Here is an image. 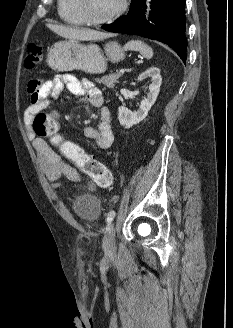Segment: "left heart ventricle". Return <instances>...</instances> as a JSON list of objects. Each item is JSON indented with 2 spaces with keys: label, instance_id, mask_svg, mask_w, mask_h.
<instances>
[{
  "label": "left heart ventricle",
  "instance_id": "1",
  "mask_svg": "<svg viewBox=\"0 0 233 328\" xmlns=\"http://www.w3.org/2000/svg\"><path fill=\"white\" fill-rule=\"evenodd\" d=\"M122 0H86L87 11L93 18H103L116 10Z\"/></svg>",
  "mask_w": 233,
  "mask_h": 328
}]
</instances>
